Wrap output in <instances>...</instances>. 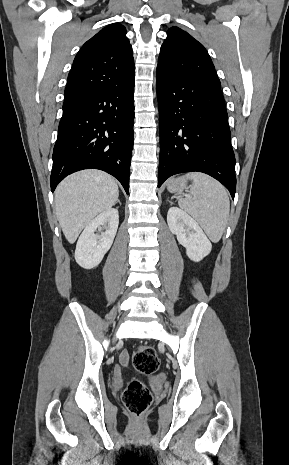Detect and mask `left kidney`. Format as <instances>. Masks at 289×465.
<instances>
[{
    "instance_id": "1",
    "label": "left kidney",
    "mask_w": 289,
    "mask_h": 465,
    "mask_svg": "<svg viewBox=\"0 0 289 465\" xmlns=\"http://www.w3.org/2000/svg\"><path fill=\"white\" fill-rule=\"evenodd\" d=\"M167 223L178 242L186 248V254L191 260L199 262L211 252V242L199 224L183 210L171 207Z\"/></svg>"
}]
</instances>
